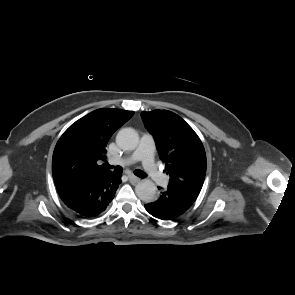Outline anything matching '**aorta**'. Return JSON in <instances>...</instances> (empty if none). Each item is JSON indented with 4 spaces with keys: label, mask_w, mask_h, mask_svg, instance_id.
<instances>
[{
    "label": "aorta",
    "mask_w": 295,
    "mask_h": 295,
    "mask_svg": "<svg viewBox=\"0 0 295 295\" xmlns=\"http://www.w3.org/2000/svg\"><path fill=\"white\" fill-rule=\"evenodd\" d=\"M117 145L123 150H134L139 144V136L132 128L121 129L116 136ZM157 187L151 180H141L135 186L138 198L146 203L156 200Z\"/></svg>",
    "instance_id": "obj_1"
}]
</instances>
